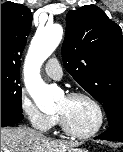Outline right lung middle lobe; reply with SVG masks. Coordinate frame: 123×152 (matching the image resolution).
Segmentation results:
<instances>
[{"label": "right lung middle lobe", "mask_w": 123, "mask_h": 152, "mask_svg": "<svg viewBox=\"0 0 123 152\" xmlns=\"http://www.w3.org/2000/svg\"><path fill=\"white\" fill-rule=\"evenodd\" d=\"M20 71L1 69V110L22 113Z\"/></svg>", "instance_id": "1"}]
</instances>
